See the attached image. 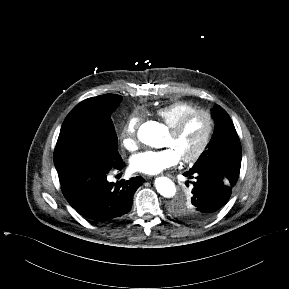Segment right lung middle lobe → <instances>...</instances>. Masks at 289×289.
Returning <instances> with one entry per match:
<instances>
[{"mask_svg":"<svg viewBox=\"0 0 289 289\" xmlns=\"http://www.w3.org/2000/svg\"><path fill=\"white\" fill-rule=\"evenodd\" d=\"M122 96L105 94L88 98L67 115L54 151L58 172L78 166L109 170L121 161L111 114Z\"/></svg>","mask_w":289,"mask_h":289,"instance_id":"obj_1","label":"right lung middle lobe"}]
</instances>
